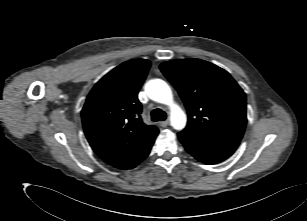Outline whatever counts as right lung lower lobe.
<instances>
[{
    "instance_id": "right-lung-lower-lobe-1",
    "label": "right lung lower lobe",
    "mask_w": 307,
    "mask_h": 221,
    "mask_svg": "<svg viewBox=\"0 0 307 221\" xmlns=\"http://www.w3.org/2000/svg\"><path fill=\"white\" fill-rule=\"evenodd\" d=\"M153 143H154V141L151 142L146 148H144L141 152H139L137 155H135L129 161H127L125 164H123L121 166H118L116 168H119V169H132L135 166H137L141 161H143L148 156Z\"/></svg>"
}]
</instances>
